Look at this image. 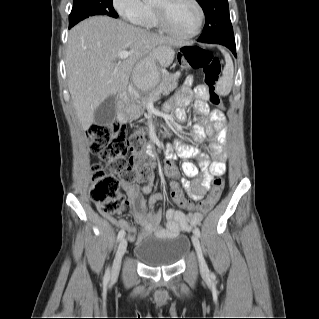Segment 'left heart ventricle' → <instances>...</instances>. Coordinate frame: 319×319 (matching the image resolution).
I'll return each mask as SVG.
<instances>
[{"label": "left heart ventricle", "mask_w": 319, "mask_h": 319, "mask_svg": "<svg viewBox=\"0 0 319 319\" xmlns=\"http://www.w3.org/2000/svg\"><path fill=\"white\" fill-rule=\"evenodd\" d=\"M161 0H155L153 4L160 5ZM167 22L169 26L181 34L191 33L198 21V12L189 0H171L166 8Z\"/></svg>", "instance_id": "obj_1"}]
</instances>
